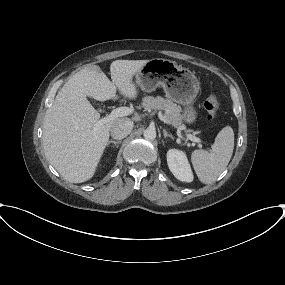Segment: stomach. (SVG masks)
<instances>
[{
    "label": "stomach",
    "mask_w": 285,
    "mask_h": 285,
    "mask_svg": "<svg viewBox=\"0 0 285 285\" xmlns=\"http://www.w3.org/2000/svg\"><path fill=\"white\" fill-rule=\"evenodd\" d=\"M136 85L145 92H152L161 86L169 99L183 106L182 120L187 124L196 122L198 111L193 103L200 85L189 69L178 66L175 61L153 58L137 73Z\"/></svg>",
    "instance_id": "obj_1"
}]
</instances>
